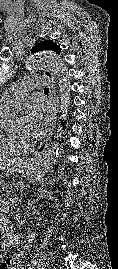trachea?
<instances>
[{
    "instance_id": "3493384b",
    "label": "trachea",
    "mask_w": 118,
    "mask_h": 269,
    "mask_svg": "<svg viewBox=\"0 0 118 269\" xmlns=\"http://www.w3.org/2000/svg\"><path fill=\"white\" fill-rule=\"evenodd\" d=\"M49 92V88L45 87L44 88V93H48Z\"/></svg>"
}]
</instances>
